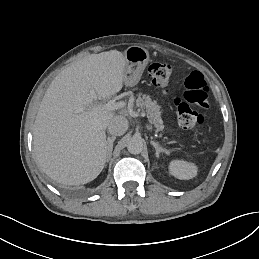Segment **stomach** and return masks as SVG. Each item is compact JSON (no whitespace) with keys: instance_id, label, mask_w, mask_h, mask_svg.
<instances>
[{"instance_id":"1","label":"stomach","mask_w":259,"mask_h":259,"mask_svg":"<svg viewBox=\"0 0 259 259\" xmlns=\"http://www.w3.org/2000/svg\"><path fill=\"white\" fill-rule=\"evenodd\" d=\"M128 62L123 69L122 82L128 88H135L141 82L143 67L149 60V52L140 46H130L125 51Z\"/></svg>"}]
</instances>
